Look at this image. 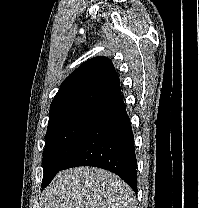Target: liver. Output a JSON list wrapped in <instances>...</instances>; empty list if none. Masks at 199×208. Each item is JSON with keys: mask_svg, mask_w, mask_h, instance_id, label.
<instances>
[{"mask_svg": "<svg viewBox=\"0 0 199 208\" xmlns=\"http://www.w3.org/2000/svg\"><path fill=\"white\" fill-rule=\"evenodd\" d=\"M44 208H136L132 189L114 173L96 167L59 172L44 190Z\"/></svg>", "mask_w": 199, "mask_h": 208, "instance_id": "1", "label": "liver"}]
</instances>
